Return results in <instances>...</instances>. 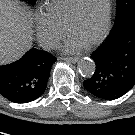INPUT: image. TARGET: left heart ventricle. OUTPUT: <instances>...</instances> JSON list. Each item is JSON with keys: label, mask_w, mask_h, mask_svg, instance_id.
Segmentation results:
<instances>
[{"label": "left heart ventricle", "mask_w": 135, "mask_h": 135, "mask_svg": "<svg viewBox=\"0 0 135 135\" xmlns=\"http://www.w3.org/2000/svg\"><path fill=\"white\" fill-rule=\"evenodd\" d=\"M108 0H85L80 16L70 25L68 35L84 45L96 38L105 24Z\"/></svg>", "instance_id": "1"}]
</instances>
